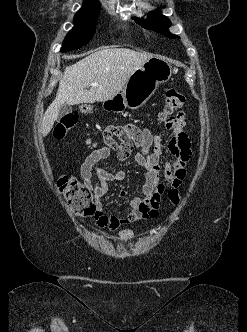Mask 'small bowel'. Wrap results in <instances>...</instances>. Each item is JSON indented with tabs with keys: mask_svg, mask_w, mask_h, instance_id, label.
Returning <instances> with one entry per match:
<instances>
[{
	"mask_svg": "<svg viewBox=\"0 0 247 332\" xmlns=\"http://www.w3.org/2000/svg\"><path fill=\"white\" fill-rule=\"evenodd\" d=\"M185 122L182 119L174 127L173 136L168 143L169 152L174 160L163 169L164 181L160 182L162 155V139L153 135L147 128H139L134 124L124 126H109L103 136L105 146L94 150L81 165V177L85 187L93 193L97 213L96 225L107 227L114 232L121 226L148 218H155L159 214L162 197L170 190H176L186 177V165L191 157V143L185 133ZM118 137L120 143L114 140ZM115 154L120 162H125L131 156L133 161L145 170V183L142 187V196L131 198V211L124 217L107 215L102 204L103 196L108 192L112 182H121L125 179V172L117 170L109 172L98 166V163ZM96 175L97 180L94 179ZM120 197L126 192L121 191Z\"/></svg>",
	"mask_w": 247,
	"mask_h": 332,
	"instance_id": "1",
	"label": "small bowel"
}]
</instances>
